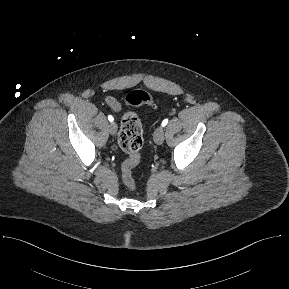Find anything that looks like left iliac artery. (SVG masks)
I'll return each mask as SVG.
<instances>
[{"label":"left iliac artery","mask_w":289,"mask_h":289,"mask_svg":"<svg viewBox=\"0 0 289 289\" xmlns=\"http://www.w3.org/2000/svg\"><path fill=\"white\" fill-rule=\"evenodd\" d=\"M168 121H169V119L168 118H166L163 122H162V127H164V126H166L167 125V123H168Z\"/></svg>","instance_id":"obj_1"}]
</instances>
